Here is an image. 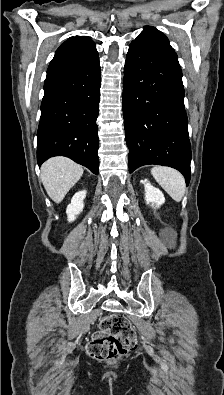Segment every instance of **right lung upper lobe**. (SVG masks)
Returning <instances> with one entry per match:
<instances>
[{
    "instance_id": "obj_1",
    "label": "right lung upper lobe",
    "mask_w": 224,
    "mask_h": 395,
    "mask_svg": "<svg viewBox=\"0 0 224 395\" xmlns=\"http://www.w3.org/2000/svg\"><path fill=\"white\" fill-rule=\"evenodd\" d=\"M79 46L85 50H96L95 43L88 37H75Z\"/></svg>"
}]
</instances>
